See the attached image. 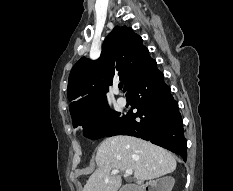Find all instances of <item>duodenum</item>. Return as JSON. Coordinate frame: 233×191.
Here are the masks:
<instances>
[{"mask_svg": "<svg viewBox=\"0 0 233 191\" xmlns=\"http://www.w3.org/2000/svg\"><path fill=\"white\" fill-rule=\"evenodd\" d=\"M123 191H142V190L136 185H130L126 187Z\"/></svg>", "mask_w": 233, "mask_h": 191, "instance_id": "duodenum-1", "label": "duodenum"}]
</instances>
